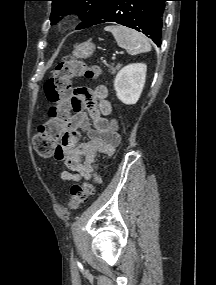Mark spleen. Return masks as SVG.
I'll use <instances>...</instances> for the list:
<instances>
[{
    "instance_id": "1",
    "label": "spleen",
    "mask_w": 216,
    "mask_h": 285,
    "mask_svg": "<svg viewBox=\"0 0 216 285\" xmlns=\"http://www.w3.org/2000/svg\"><path fill=\"white\" fill-rule=\"evenodd\" d=\"M105 31L111 32L118 46L126 49L130 55H137L151 50L147 38L133 29L123 26H107Z\"/></svg>"
}]
</instances>
